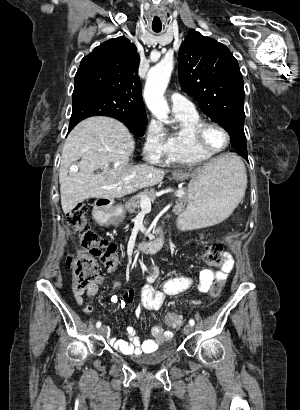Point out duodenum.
Returning a JSON list of instances; mask_svg holds the SVG:
<instances>
[{
    "mask_svg": "<svg viewBox=\"0 0 300 410\" xmlns=\"http://www.w3.org/2000/svg\"><path fill=\"white\" fill-rule=\"evenodd\" d=\"M110 201H106L101 204H97L94 209V214L96 220L99 223H108L109 222V207ZM162 247V242L159 240H153L145 243L132 244L133 249H138L144 253H155Z\"/></svg>",
    "mask_w": 300,
    "mask_h": 410,
    "instance_id": "410a0bca",
    "label": "duodenum"
}]
</instances>
